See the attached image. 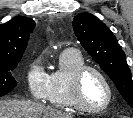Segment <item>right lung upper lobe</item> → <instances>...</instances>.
<instances>
[{
    "instance_id": "right-lung-upper-lobe-1",
    "label": "right lung upper lobe",
    "mask_w": 133,
    "mask_h": 118,
    "mask_svg": "<svg viewBox=\"0 0 133 118\" xmlns=\"http://www.w3.org/2000/svg\"><path fill=\"white\" fill-rule=\"evenodd\" d=\"M34 27L35 22L23 16L0 25V61H20Z\"/></svg>"
}]
</instances>
